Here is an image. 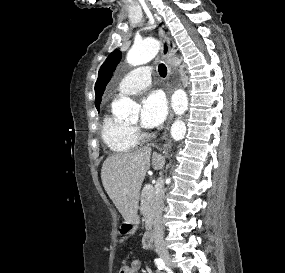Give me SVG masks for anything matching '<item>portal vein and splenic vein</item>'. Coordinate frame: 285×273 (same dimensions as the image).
<instances>
[{"label": "portal vein and splenic vein", "instance_id": "obj_1", "mask_svg": "<svg viewBox=\"0 0 285 273\" xmlns=\"http://www.w3.org/2000/svg\"><path fill=\"white\" fill-rule=\"evenodd\" d=\"M152 188V186L151 185H147V186H145V189H151Z\"/></svg>", "mask_w": 285, "mask_h": 273}]
</instances>
